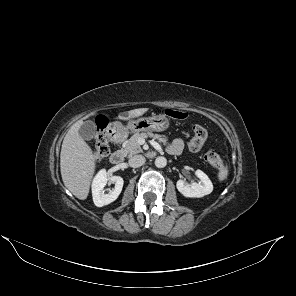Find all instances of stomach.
<instances>
[{"label": "stomach", "instance_id": "stomach-1", "mask_svg": "<svg viewBox=\"0 0 296 296\" xmlns=\"http://www.w3.org/2000/svg\"><path fill=\"white\" fill-rule=\"evenodd\" d=\"M120 131L131 132H150V131H164L169 127V119L165 115H154L152 117H142L136 120H130L127 126H123L120 122L115 123Z\"/></svg>", "mask_w": 296, "mask_h": 296}]
</instances>
